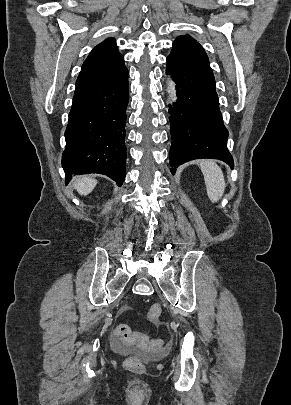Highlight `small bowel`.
I'll list each match as a JSON object with an SVG mask.
<instances>
[{"label": "small bowel", "instance_id": "1", "mask_svg": "<svg viewBox=\"0 0 291 405\" xmlns=\"http://www.w3.org/2000/svg\"><path fill=\"white\" fill-rule=\"evenodd\" d=\"M127 311H128V308L126 307V308H123V309H122L121 313H125V312H127Z\"/></svg>", "mask_w": 291, "mask_h": 405}]
</instances>
